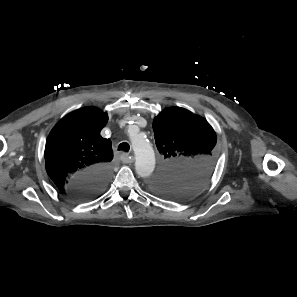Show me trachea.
Segmentation results:
<instances>
[{
	"label": "trachea",
	"instance_id": "obj_1",
	"mask_svg": "<svg viewBox=\"0 0 297 297\" xmlns=\"http://www.w3.org/2000/svg\"><path fill=\"white\" fill-rule=\"evenodd\" d=\"M130 149V146L128 143L126 142H122L119 146H118V151H124V152H128Z\"/></svg>",
	"mask_w": 297,
	"mask_h": 297
}]
</instances>
